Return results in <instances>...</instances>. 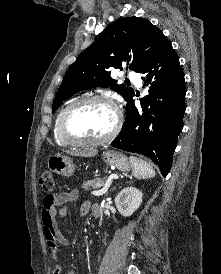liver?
<instances>
[{
	"instance_id": "1",
	"label": "liver",
	"mask_w": 221,
	"mask_h": 274,
	"mask_svg": "<svg viewBox=\"0 0 221 274\" xmlns=\"http://www.w3.org/2000/svg\"><path fill=\"white\" fill-rule=\"evenodd\" d=\"M66 153H69L73 156L94 157L97 155L98 151L94 148H87L83 150H67Z\"/></svg>"
}]
</instances>
